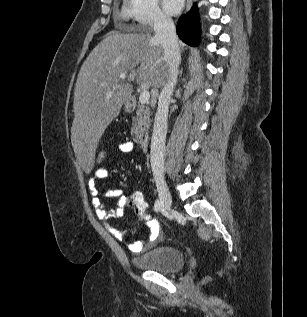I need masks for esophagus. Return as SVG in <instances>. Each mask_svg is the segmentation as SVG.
<instances>
[{
  "mask_svg": "<svg viewBox=\"0 0 307 317\" xmlns=\"http://www.w3.org/2000/svg\"><path fill=\"white\" fill-rule=\"evenodd\" d=\"M191 0H187V10L190 8Z\"/></svg>",
  "mask_w": 307,
  "mask_h": 317,
  "instance_id": "obj_1",
  "label": "esophagus"
}]
</instances>
